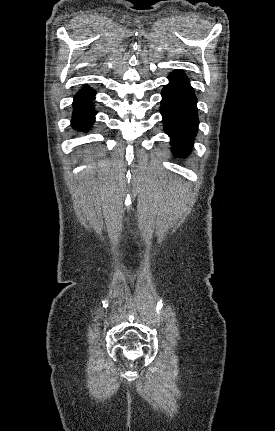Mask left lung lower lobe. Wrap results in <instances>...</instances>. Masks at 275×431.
I'll use <instances>...</instances> for the list:
<instances>
[{
	"mask_svg": "<svg viewBox=\"0 0 275 431\" xmlns=\"http://www.w3.org/2000/svg\"><path fill=\"white\" fill-rule=\"evenodd\" d=\"M168 79L169 84L162 90V123L171 138L173 155L185 158L191 152L198 131L197 98L182 71L175 70Z\"/></svg>",
	"mask_w": 275,
	"mask_h": 431,
	"instance_id": "obj_1",
	"label": "left lung lower lobe"
}]
</instances>
